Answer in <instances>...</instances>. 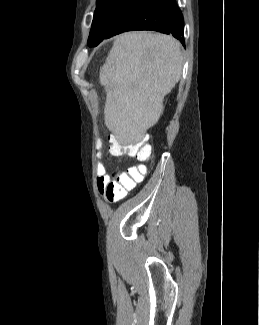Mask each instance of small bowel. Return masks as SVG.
I'll list each match as a JSON object with an SVG mask.
<instances>
[{"mask_svg": "<svg viewBox=\"0 0 259 325\" xmlns=\"http://www.w3.org/2000/svg\"><path fill=\"white\" fill-rule=\"evenodd\" d=\"M138 166H140V165H138ZM138 166H134V167H138ZM134 167H131V168H134ZM96 171H97V176H98V186L100 187L101 184L109 178V176L106 174L105 167L103 166L102 163H98Z\"/></svg>", "mask_w": 259, "mask_h": 325, "instance_id": "1", "label": "small bowel"}]
</instances>
